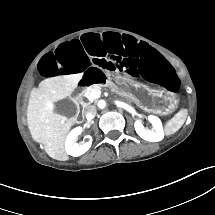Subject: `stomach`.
Wrapping results in <instances>:
<instances>
[{
	"instance_id": "1",
	"label": "stomach",
	"mask_w": 215,
	"mask_h": 215,
	"mask_svg": "<svg viewBox=\"0 0 215 215\" xmlns=\"http://www.w3.org/2000/svg\"><path fill=\"white\" fill-rule=\"evenodd\" d=\"M126 90L131 98L140 104L151 105L155 108L166 109L175 105V99L169 94H149L143 88H136L132 85H126Z\"/></svg>"
}]
</instances>
